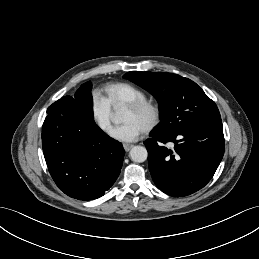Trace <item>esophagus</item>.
Segmentation results:
<instances>
[{
    "mask_svg": "<svg viewBox=\"0 0 259 259\" xmlns=\"http://www.w3.org/2000/svg\"><path fill=\"white\" fill-rule=\"evenodd\" d=\"M123 147H124L125 151L128 152L133 147V145H131V144H123Z\"/></svg>",
    "mask_w": 259,
    "mask_h": 259,
    "instance_id": "1",
    "label": "esophagus"
}]
</instances>
